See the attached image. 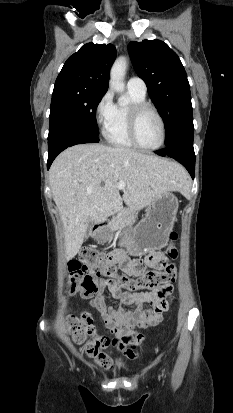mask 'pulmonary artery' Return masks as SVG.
I'll return each instance as SVG.
<instances>
[{"instance_id": "1", "label": "pulmonary artery", "mask_w": 233, "mask_h": 413, "mask_svg": "<svg viewBox=\"0 0 233 413\" xmlns=\"http://www.w3.org/2000/svg\"><path fill=\"white\" fill-rule=\"evenodd\" d=\"M127 88L128 91L136 92L140 95H146L147 93V86L145 82L137 76H132L128 79Z\"/></svg>"}]
</instances>
